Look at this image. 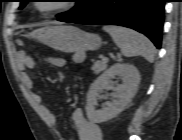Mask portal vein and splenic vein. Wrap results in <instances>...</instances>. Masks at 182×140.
I'll list each match as a JSON object with an SVG mask.
<instances>
[{
	"instance_id": "obj_1",
	"label": "portal vein and splenic vein",
	"mask_w": 182,
	"mask_h": 140,
	"mask_svg": "<svg viewBox=\"0 0 182 140\" xmlns=\"http://www.w3.org/2000/svg\"><path fill=\"white\" fill-rule=\"evenodd\" d=\"M101 58H102V61L108 62V58L107 57L102 56Z\"/></svg>"
}]
</instances>
